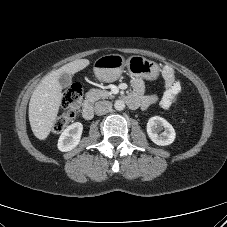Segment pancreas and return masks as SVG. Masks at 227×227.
Instances as JSON below:
<instances>
[{
  "label": "pancreas",
  "mask_w": 227,
  "mask_h": 227,
  "mask_svg": "<svg viewBox=\"0 0 227 227\" xmlns=\"http://www.w3.org/2000/svg\"><path fill=\"white\" fill-rule=\"evenodd\" d=\"M114 95L104 89H91L86 93V100L94 103L103 98H112Z\"/></svg>",
  "instance_id": "pancreas-1"
}]
</instances>
